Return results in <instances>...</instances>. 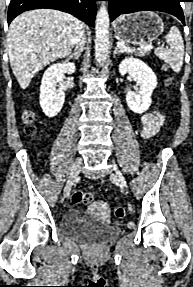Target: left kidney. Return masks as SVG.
Wrapping results in <instances>:
<instances>
[{"instance_id": "1", "label": "left kidney", "mask_w": 193, "mask_h": 287, "mask_svg": "<svg viewBox=\"0 0 193 287\" xmlns=\"http://www.w3.org/2000/svg\"><path fill=\"white\" fill-rule=\"evenodd\" d=\"M121 75L129 74L140 86L139 91H129L126 95L128 107L134 113H144L152 103V93L157 86V77L152 69L137 58H125L119 64Z\"/></svg>"}]
</instances>
